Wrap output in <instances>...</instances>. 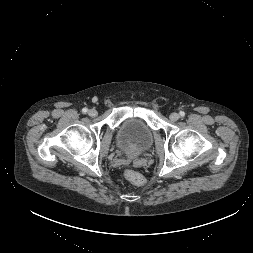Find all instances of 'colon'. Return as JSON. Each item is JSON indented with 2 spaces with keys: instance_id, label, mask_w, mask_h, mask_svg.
Instances as JSON below:
<instances>
[{
  "instance_id": "obj_1",
  "label": "colon",
  "mask_w": 253,
  "mask_h": 253,
  "mask_svg": "<svg viewBox=\"0 0 253 253\" xmlns=\"http://www.w3.org/2000/svg\"><path fill=\"white\" fill-rule=\"evenodd\" d=\"M124 176L127 180L136 185H142L144 183L143 176L132 169L125 170Z\"/></svg>"
}]
</instances>
